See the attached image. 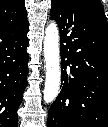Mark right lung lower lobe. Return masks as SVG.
Returning a JSON list of instances; mask_svg holds the SVG:
<instances>
[{"label": "right lung lower lobe", "instance_id": "1", "mask_svg": "<svg viewBox=\"0 0 108 127\" xmlns=\"http://www.w3.org/2000/svg\"><path fill=\"white\" fill-rule=\"evenodd\" d=\"M29 23L0 30V126L17 127V109L27 84Z\"/></svg>", "mask_w": 108, "mask_h": 127}]
</instances>
